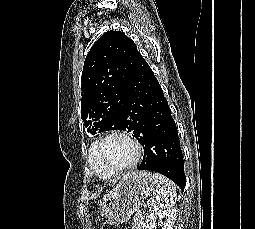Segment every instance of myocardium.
Masks as SVG:
<instances>
[{
  "mask_svg": "<svg viewBox=\"0 0 255 229\" xmlns=\"http://www.w3.org/2000/svg\"><path fill=\"white\" fill-rule=\"evenodd\" d=\"M114 136H117V137H122L124 138L125 140H127L131 146L133 147L134 149V157L132 159V161L123 166V167H119V168H114V169H111V168H108L106 167L104 164H102L98 158H97V150H98V147L99 145L106 139L110 138V137H114ZM90 152H91V155H92V159L95 160V162L109 175V176H117V175H120L122 173H125L129 170H131L132 168H134L136 166V164L138 163L139 159H140V156H141V147L138 143V141L133 137L131 136L129 133L127 132H124V131H121V130H111V131H108L106 133H104L103 135H101L100 137H98L91 145L90 147Z\"/></svg>",
  "mask_w": 255,
  "mask_h": 229,
  "instance_id": "obj_1",
  "label": "myocardium"
}]
</instances>
